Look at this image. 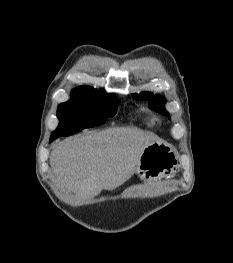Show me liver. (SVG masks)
I'll list each match as a JSON object with an SVG mask.
<instances>
[{"label":"liver","instance_id":"liver-1","mask_svg":"<svg viewBox=\"0 0 233 263\" xmlns=\"http://www.w3.org/2000/svg\"><path fill=\"white\" fill-rule=\"evenodd\" d=\"M156 141L154 134L136 128L91 131L57 144L50 166L58 186L85 203L129 180L143 150Z\"/></svg>","mask_w":233,"mask_h":263}]
</instances>
